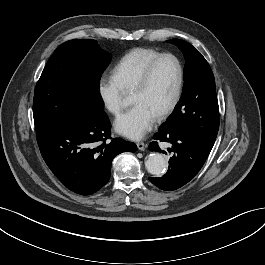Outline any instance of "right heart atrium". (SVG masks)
I'll use <instances>...</instances> for the list:
<instances>
[{
  "label": "right heart atrium",
  "instance_id": "1",
  "mask_svg": "<svg viewBox=\"0 0 265 265\" xmlns=\"http://www.w3.org/2000/svg\"><path fill=\"white\" fill-rule=\"evenodd\" d=\"M99 99L106 110L118 115L123 107L124 91L112 75H102L97 84Z\"/></svg>",
  "mask_w": 265,
  "mask_h": 265
}]
</instances>
